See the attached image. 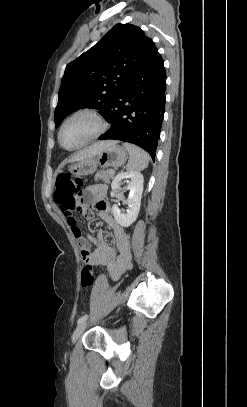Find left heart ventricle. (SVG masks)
<instances>
[{
  "label": "left heart ventricle",
  "mask_w": 247,
  "mask_h": 407,
  "mask_svg": "<svg viewBox=\"0 0 247 407\" xmlns=\"http://www.w3.org/2000/svg\"><path fill=\"white\" fill-rule=\"evenodd\" d=\"M97 129L98 125L93 118L86 115L77 116L64 126L61 134L62 145L66 148L76 147L93 135Z\"/></svg>",
  "instance_id": "obj_1"
}]
</instances>
